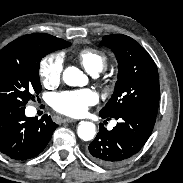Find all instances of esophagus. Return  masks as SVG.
<instances>
[{
  "label": "esophagus",
  "mask_w": 183,
  "mask_h": 183,
  "mask_svg": "<svg viewBox=\"0 0 183 183\" xmlns=\"http://www.w3.org/2000/svg\"><path fill=\"white\" fill-rule=\"evenodd\" d=\"M62 122L63 123H72V122H76V120L73 118L64 117V118H62Z\"/></svg>",
  "instance_id": "34e87169"
}]
</instances>
